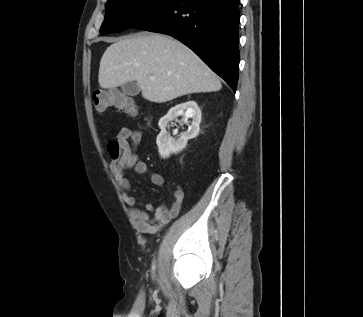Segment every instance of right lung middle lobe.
I'll return each instance as SVG.
<instances>
[{"mask_svg":"<svg viewBox=\"0 0 363 317\" xmlns=\"http://www.w3.org/2000/svg\"><path fill=\"white\" fill-rule=\"evenodd\" d=\"M177 0H108L100 33H116L143 22L173 5Z\"/></svg>","mask_w":363,"mask_h":317,"instance_id":"obj_1","label":"right lung middle lobe"}]
</instances>
